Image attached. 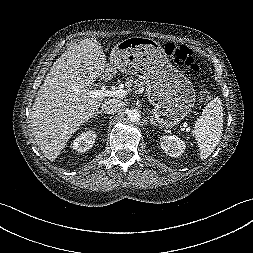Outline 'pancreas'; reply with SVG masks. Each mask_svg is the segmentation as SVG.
<instances>
[{
	"label": "pancreas",
	"mask_w": 253,
	"mask_h": 253,
	"mask_svg": "<svg viewBox=\"0 0 253 253\" xmlns=\"http://www.w3.org/2000/svg\"><path fill=\"white\" fill-rule=\"evenodd\" d=\"M145 85V82L139 79L130 78L127 79L125 86L127 90L130 91H138L140 89H143Z\"/></svg>",
	"instance_id": "obj_1"
}]
</instances>
